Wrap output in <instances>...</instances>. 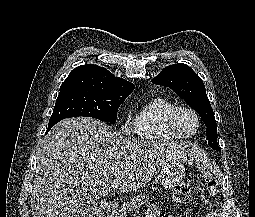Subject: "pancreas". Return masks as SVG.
Listing matches in <instances>:
<instances>
[{
	"label": "pancreas",
	"mask_w": 255,
	"mask_h": 217,
	"mask_svg": "<svg viewBox=\"0 0 255 217\" xmlns=\"http://www.w3.org/2000/svg\"><path fill=\"white\" fill-rule=\"evenodd\" d=\"M148 200L149 198L145 194L130 197L128 201L123 202L118 213L115 214V217H126L127 213L139 208V206L143 205Z\"/></svg>",
	"instance_id": "obj_1"
}]
</instances>
